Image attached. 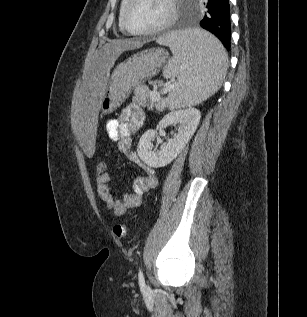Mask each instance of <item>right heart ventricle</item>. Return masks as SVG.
I'll list each match as a JSON object with an SVG mask.
<instances>
[{
	"instance_id": "obj_1",
	"label": "right heart ventricle",
	"mask_w": 307,
	"mask_h": 317,
	"mask_svg": "<svg viewBox=\"0 0 307 317\" xmlns=\"http://www.w3.org/2000/svg\"><path fill=\"white\" fill-rule=\"evenodd\" d=\"M127 3V0H122L120 5V11H119V29L121 32H125L123 25H122V12L124 9L125 4Z\"/></svg>"
}]
</instances>
